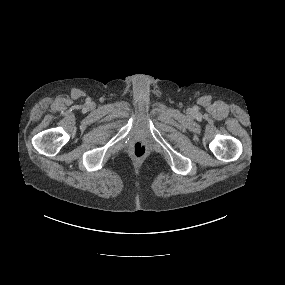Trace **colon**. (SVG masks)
<instances>
[{
	"mask_svg": "<svg viewBox=\"0 0 285 285\" xmlns=\"http://www.w3.org/2000/svg\"><path fill=\"white\" fill-rule=\"evenodd\" d=\"M132 151L135 156L141 157L146 153V146L141 142H135L132 146Z\"/></svg>",
	"mask_w": 285,
	"mask_h": 285,
	"instance_id": "obj_1",
	"label": "colon"
}]
</instances>
